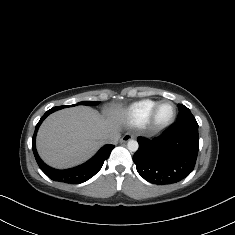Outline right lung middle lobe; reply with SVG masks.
Wrapping results in <instances>:
<instances>
[{"mask_svg":"<svg viewBox=\"0 0 235 235\" xmlns=\"http://www.w3.org/2000/svg\"><path fill=\"white\" fill-rule=\"evenodd\" d=\"M80 105H89V106H94V105H97L99 104V102H92V101H83V102H80L78 103ZM72 106H76V104L74 105H66V106H58V107H54L53 110H59V109H62V108H65V107H72Z\"/></svg>","mask_w":235,"mask_h":235,"instance_id":"right-lung-middle-lobe-1","label":"right lung middle lobe"}]
</instances>
